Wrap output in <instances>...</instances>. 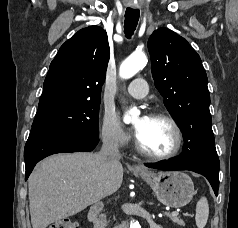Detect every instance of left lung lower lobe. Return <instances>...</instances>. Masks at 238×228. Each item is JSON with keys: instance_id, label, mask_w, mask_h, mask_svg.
Instances as JSON below:
<instances>
[{"instance_id": "left-lung-lower-lobe-1", "label": "left lung lower lobe", "mask_w": 238, "mask_h": 228, "mask_svg": "<svg viewBox=\"0 0 238 228\" xmlns=\"http://www.w3.org/2000/svg\"><path fill=\"white\" fill-rule=\"evenodd\" d=\"M219 159L218 157L204 158L188 163H181L177 157L164 160L156 164H146L149 168L159 170H190L205 176L210 182L215 195H218L219 188Z\"/></svg>"}]
</instances>
